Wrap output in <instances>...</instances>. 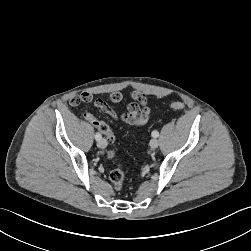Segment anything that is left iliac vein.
Wrapping results in <instances>:
<instances>
[{
    "label": "left iliac vein",
    "mask_w": 251,
    "mask_h": 251,
    "mask_svg": "<svg viewBox=\"0 0 251 251\" xmlns=\"http://www.w3.org/2000/svg\"><path fill=\"white\" fill-rule=\"evenodd\" d=\"M150 147L152 148V149H155V148H157L158 147V145H159V142H158V140L157 139H151V141H150Z\"/></svg>",
    "instance_id": "4c4485c4"
}]
</instances>
